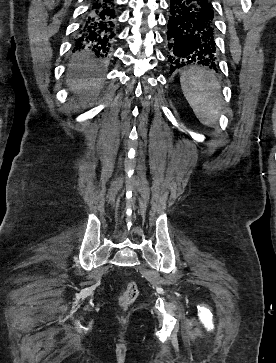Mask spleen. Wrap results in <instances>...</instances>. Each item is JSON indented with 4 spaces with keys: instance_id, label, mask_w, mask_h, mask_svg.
<instances>
[{
    "instance_id": "3e777b00",
    "label": "spleen",
    "mask_w": 276,
    "mask_h": 363,
    "mask_svg": "<svg viewBox=\"0 0 276 363\" xmlns=\"http://www.w3.org/2000/svg\"><path fill=\"white\" fill-rule=\"evenodd\" d=\"M180 83L199 121L209 127L216 124L223 97L220 94V83L213 72L197 66L190 67L181 74Z\"/></svg>"
}]
</instances>
